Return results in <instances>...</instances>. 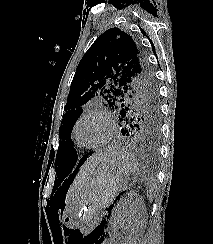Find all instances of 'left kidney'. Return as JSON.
<instances>
[{
	"label": "left kidney",
	"mask_w": 213,
	"mask_h": 244,
	"mask_svg": "<svg viewBox=\"0 0 213 244\" xmlns=\"http://www.w3.org/2000/svg\"><path fill=\"white\" fill-rule=\"evenodd\" d=\"M138 202L139 200H134L132 196H128L121 200L120 203L116 206L111 219L112 229L109 233L110 239L108 244H113L115 238L119 236L117 229L122 224V222H128V225L126 226L127 236H125L122 244H137L136 232L139 229V222L136 208Z\"/></svg>",
	"instance_id": "obj_1"
}]
</instances>
